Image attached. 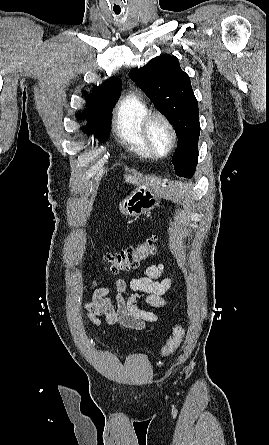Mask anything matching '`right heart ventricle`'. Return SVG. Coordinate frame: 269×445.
I'll return each mask as SVG.
<instances>
[{"instance_id": "obj_1", "label": "right heart ventricle", "mask_w": 269, "mask_h": 445, "mask_svg": "<svg viewBox=\"0 0 269 445\" xmlns=\"http://www.w3.org/2000/svg\"><path fill=\"white\" fill-rule=\"evenodd\" d=\"M150 113L147 103L138 95H126L115 111L114 130L120 141L136 154L152 158L142 136V124Z\"/></svg>"}]
</instances>
